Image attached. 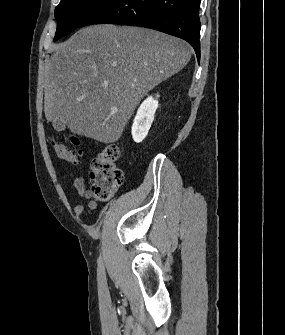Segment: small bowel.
Returning a JSON list of instances; mask_svg holds the SVG:
<instances>
[{"instance_id":"1","label":"small bowel","mask_w":285,"mask_h":335,"mask_svg":"<svg viewBox=\"0 0 285 335\" xmlns=\"http://www.w3.org/2000/svg\"><path fill=\"white\" fill-rule=\"evenodd\" d=\"M74 186L76 190L79 192V194L89 198L91 197V194L85 189L84 182L81 178H77L74 182ZM89 208L94 209L96 208V202L95 201H90L89 202ZM84 211L83 206L79 205L75 207V214L76 215H81Z\"/></svg>"}]
</instances>
